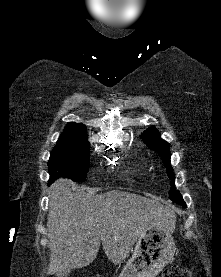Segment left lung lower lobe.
I'll list each match as a JSON object with an SVG mask.
<instances>
[{"mask_svg": "<svg viewBox=\"0 0 221 277\" xmlns=\"http://www.w3.org/2000/svg\"><path fill=\"white\" fill-rule=\"evenodd\" d=\"M182 206L186 207V204H185V203H183V205H182Z\"/></svg>", "mask_w": 221, "mask_h": 277, "instance_id": "0a47b994", "label": "left lung lower lobe"}]
</instances>
